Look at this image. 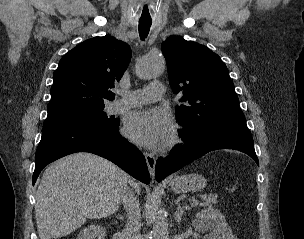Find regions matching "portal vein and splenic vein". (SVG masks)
<instances>
[{
  "label": "portal vein and splenic vein",
  "instance_id": "portal-vein-and-splenic-vein-1",
  "mask_svg": "<svg viewBox=\"0 0 304 239\" xmlns=\"http://www.w3.org/2000/svg\"><path fill=\"white\" fill-rule=\"evenodd\" d=\"M202 197H204V196H202ZM205 198V197H204ZM198 204V200H196V199H192V203H191V206H196Z\"/></svg>",
  "mask_w": 304,
  "mask_h": 239
}]
</instances>
